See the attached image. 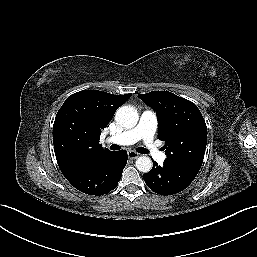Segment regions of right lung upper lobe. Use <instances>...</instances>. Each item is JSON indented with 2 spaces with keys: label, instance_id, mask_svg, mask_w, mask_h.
<instances>
[{
  "label": "right lung upper lobe",
  "instance_id": "1",
  "mask_svg": "<svg viewBox=\"0 0 257 257\" xmlns=\"http://www.w3.org/2000/svg\"><path fill=\"white\" fill-rule=\"evenodd\" d=\"M131 95L83 90L65 100L53 125L54 151L62 173L80 170L111 152L99 144L101 130Z\"/></svg>",
  "mask_w": 257,
  "mask_h": 257
}]
</instances>
